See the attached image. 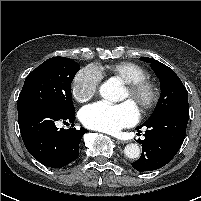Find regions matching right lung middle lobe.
<instances>
[{
    "label": "right lung middle lobe",
    "mask_w": 201,
    "mask_h": 201,
    "mask_svg": "<svg viewBox=\"0 0 201 201\" xmlns=\"http://www.w3.org/2000/svg\"><path fill=\"white\" fill-rule=\"evenodd\" d=\"M80 65L70 58L52 57L35 68L25 79L18 98V112L43 105L68 114L75 111L71 82Z\"/></svg>",
    "instance_id": "1"
}]
</instances>
